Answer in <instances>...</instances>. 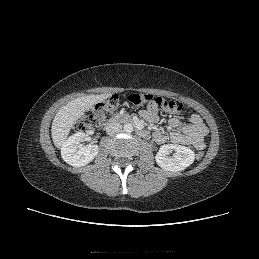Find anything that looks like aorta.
Listing matches in <instances>:
<instances>
[{
  "instance_id": "1",
  "label": "aorta",
  "mask_w": 259,
  "mask_h": 259,
  "mask_svg": "<svg viewBox=\"0 0 259 259\" xmlns=\"http://www.w3.org/2000/svg\"><path fill=\"white\" fill-rule=\"evenodd\" d=\"M123 128L127 133H131L133 131V125L131 123H126Z\"/></svg>"
}]
</instances>
